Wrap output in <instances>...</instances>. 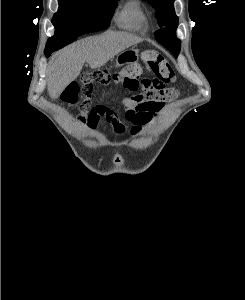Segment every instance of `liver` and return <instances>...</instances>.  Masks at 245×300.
Segmentation results:
<instances>
[{
	"mask_svg": "<svg viewBox=\"0 0 245 300\" xmlns=\"http://www.w3.org/2000/svg\"><path fill=\"white\" fill-rule=\"evenodd\" d=\"M141 40L121 32H106L88 37L59 51L50 61L47 72V89L57 99L65 88L80 74L87 62L92 69L107 63L111 58Z\"/></svg>",
	"mask_w": 245,
	"mask_h": 300,
	"instance_id": "obj_1",
	"label": "liver"
}]
</instances>
